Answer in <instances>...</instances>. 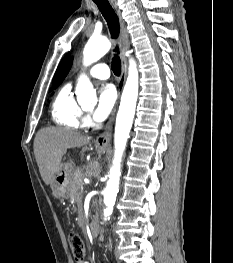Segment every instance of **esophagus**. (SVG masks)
I'll return each instance as SVG.
<instances>
[{
    "instance_id": "esophagus-1",
    "label": "esophagus",
    "mask_w": 233,
    "mask_h": 263,
    "mask_svg": "<svg viewBox=\"0 0 233 263\" xmlns=\"http://www.w3.org/2000/svg\"><path fill=\"white\" fill-rule=\"evenodd\" d=\"M110 3L114 8L115 12L117 13L120 22L121 76L118 83V96H120L127 76L126 56L129 53V36H128L126 24L122 18L121 11L118 8L117 3L115 2V0H110ZM115 112H116V107L114 108L111 117L104 128V131L96 139L95 143L98 148H106L110 143Z\"/></svg>"
}]
</instances>
